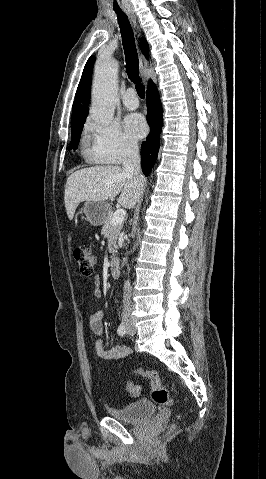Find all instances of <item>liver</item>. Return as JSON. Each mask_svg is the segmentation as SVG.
<instances>
[{
    "label": "liver",
    "mask_w": 266,
    "mask_h": 479,
    "mask_svg": "<svg viewBox=\"0 0 266 479\" xmlns=\"http://www.w3.org/2000/svg\"><path fill=\"white\" fill-rule=\"evenodd\" d=\"M146 180L117 165L95 166L72 173L66 182L64 202L70 220L83 201H106L120 192L118 203L131 209L140 199Z\"/></svg>",
    "instance_id": "obj_1"
}]
</instances>
